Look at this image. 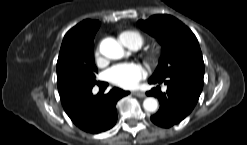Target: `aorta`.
Returning a JSON list of instances; mask_svg holds the SVG:
<instances>
[{
	"mask_svg": "<svg viewBox=\"0 0 247 145\" xmlns=\"http://www.w3.org/2000/svg\"><path fill=\"white\" fill-rule=\"evenodd\" d=\"M100 52L109 59H121L125 55L123 47L113 38L108 37L102 40ZM143 108L147 112H155L158 108V101L153 97H148L143 102Z\"/></svg>",
	"mask_w": 247,
	"mask_h": 145,
	"instance_id": "1",
	"label": "aorta"
}]
</instances>
